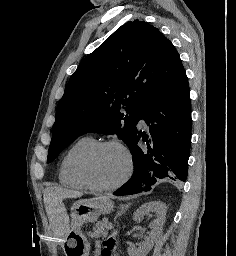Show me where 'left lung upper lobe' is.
I'll return each instance as SVG.
<instances>
[{
	"instance_id": "left-lung-upper-lobe-1",
	"label": "left lung upper lobe",
	"mask_w": 236,
	"mask_h": 256,
	"mask_svg": "<svg viewBox=\"0 0 236 256\" xmlns=\"http://www.w3.org/2000/svg\"><path fill=\"white\" fill-rule=\"evenodd\" d=\"M183 69L172 43L154 26L134 20L119 27L70 77L47 162L88 132L117 134L128 146L144 106Z\"/></svg>"
}]
</instances>
